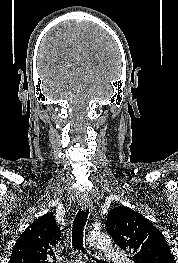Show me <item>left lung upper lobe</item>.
Instances as JSON below:
<instances>
[{
    "label": "left lung upper lobe",
    "mask_w": 178,
    "mask_h": 263,
    "mask_svg": "<svg viewBox=\"0 0 178 263\" xmlns=\"http://www.w3.org/2000/svg\"><path fill=\"white\" fill-rule=\"evenodd\" d=\"M106 229L135 263H175L164 235L140 213L119 206L108 213Z\"/></svg>",
    "instance_id": "1"
}]
</instances>
